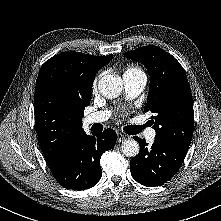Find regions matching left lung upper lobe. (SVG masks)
I'll return each instance as SVG.
<instances>
[{"instance_id": "5c2ea615", "label": "left lung upper lobe", "mask_w": 221, "mask_h": 221, "mask_svg": "<svg viewBox=\"0 0 221 221\" xmlns=\"http://www.w3.org/2000/svg\"><path fill=\"white\" fill-rule=\"evenodd\" d=\"M142 63L150 75L145 112L151 111L155 139L189 148L194 130L193 100L180 63L157 46H143L124 53Z\"/></svg>"}]
</instances>
